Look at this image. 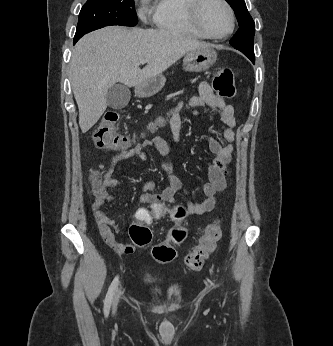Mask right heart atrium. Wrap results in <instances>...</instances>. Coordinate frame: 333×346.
Instances as JSON below:
<instances>
[{"instance_id": "d8ad5b80", "label": "right heart atrium", "mask_w": 333, "mask_h": 346, "mask_svg": "<svg viewBox=\"0 0 333 346\" xmlns=\"http://www.w3.org/2000/svg\"><path fill=\"white\" fill-rule=\"evenodd\" d=\"M138 4V14L142 20H147L153 9L155 0H136Z\"/></svg>"}]
</instances>
